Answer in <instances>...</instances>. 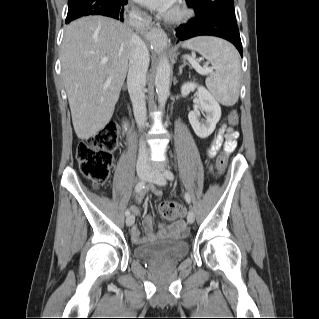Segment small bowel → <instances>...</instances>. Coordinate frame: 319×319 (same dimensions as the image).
Returning a JSON list of instances; mask_svg holds the SVG:
<instances>
[{
    "instance_id": "1",
    "label": "small bowel",
    "mask_w": 319,
    "mask_h": 319,
    "mask_svg": "<svg viewBox=\"0 0 319 319\" xmlns=\"http://www.w3.org/2000/svg\"><path fill=\"white\" fill-rule=\"evenodd\" d=\"M225 135V142L223 144V136ZM239 133L232 129V128H226L225 125H223L217 135L214 137V139L211 142V146L209 148V155H214L220 147L223 145L225 150L228 152H231L236 144V139L238 138ZM153 192L156 195H160L161 191L159 189L154 188ZM143 198V195L138 196V200L141 201ZM131 211L134 215H138L140 213V210L137 207H132ZM185 209H183V215H184ZM143 227L149 237L153 236L154 234V223L152 218L148 217L144 220L143 222ZM170 230L175 231V232H185L186 230V224L183 220H178L175 224L169 227ZM166 230V228H164ZM131 235H132V240L135 243H142L144 242V238L140 236V232L137 226H134L131 230Z\"/></svg>"
}]
</instances>
